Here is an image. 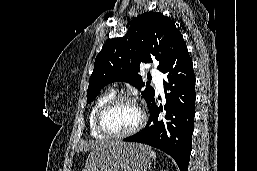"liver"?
Returning <instances> with one entry per match:
<instances>
[{
	"label": "liver",
	"instance_id": "6515ba94",
	"mask_svg": "<svg viewBox=\"0 0 257 171\" xmlns=\"http://www.w3.org/2000/svg\"><path fill=\"white\" fill-rule=\"evenodd\" d=\"M111 143H113V142L92 141L89 143H84L82 147L86 151H89V150L96 151V150H99L100 148H102L108 144H111Z\"/></svg>",
	"mask_w": 257,
	"mask_h": 171
}]
</instances>
